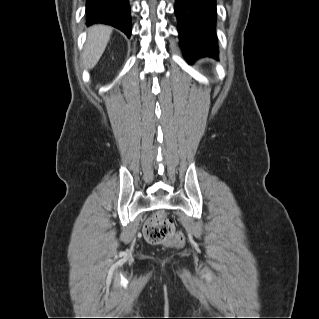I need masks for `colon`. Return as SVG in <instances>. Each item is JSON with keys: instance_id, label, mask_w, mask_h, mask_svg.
<instances>
[{"instance_id": "1", "label": "colon", "mask_w": 319, "mask_h": 319, "mask_svg": "<svg viewBox=\"0 0 319 319\" xmlns=\"http://www.w3.org/2000/svg\"><path fill=\"white\" fill-rule=\"evenodd\" d=\"M144 234L147 240L154 244H169L175 247H182L185 244L183 233L177 232L172 221L160 214L146 221Z\"/></svg>"}]
</instances>
